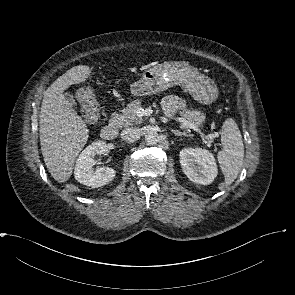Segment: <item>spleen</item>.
Here are the masks:
<instances>
[{
	"label": "spleen",
	"mask_w": 295,
	"mask_h": 295,
	"mask_svg": "<svg viewBox=\"0 0 295 295\" xmlns=\"http://www.w3.org/2000/svg\"><path fill=\"white\" fill-rule=\"evenodd\" d=\"M222 148L218 153V162L225 178V185H230L237 178L244 159L242 135L232 118L224 121L221 131Z\"/></svg>",
	"instance_id": "3e777b00"
}]
</instances>
